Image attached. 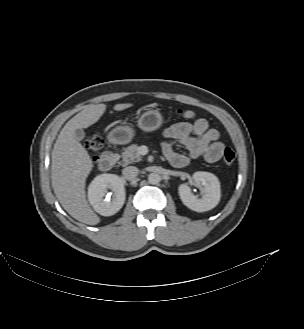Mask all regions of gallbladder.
Returning a JSON list of instances; mask_svg holds the SVG:
<instances>
[{"mask_svg":"<svg viewBox=\"0 0 304 329\" xmlns=\"http://www.w3.org/2000/svg\"><path fill=\"white\" fill-rule=\"evenodd\" d=\"M85 137V133L82 129H77L75 131V138L77 141H82Z\"/></svg>","mask_w":304,"mask_h":329,"instance_id":"obj_1","label":"gallbladder"}]
</instances>
